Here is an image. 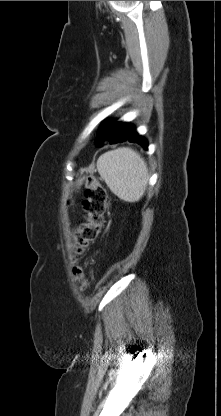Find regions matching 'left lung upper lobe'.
I'll return each instance as SVG.
<instances>
[{
    "mask_svg": "<svg viewBox=\"0 0 221 416\" xmlns=\"http://www.w3.org/2000/svg\"><path fill=\"white\" fill-rule=\"evenodd\" d=\"M132 127L128 123L106 121L99 127L97 141L101 144L106 140L110 142L116 141L126 136L132 130Z\"/></svg>",
    "mask_w": 221,
    "mask_h": 416,
    "instance_id": "1",
    "label": "left lung upper lobe"
}]
</instances>
